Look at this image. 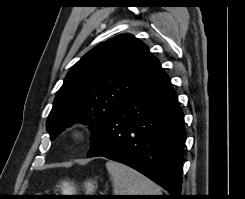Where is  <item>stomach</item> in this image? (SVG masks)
Here are the masks:
<instances>
[{"mask_svg": "<svg viewBox=\"0 0 245 199\" xmlns=\"http://www.w3.org/2000/svg\"><path fill=\"white\" fill-rule=\"evenodd\" d=\"M67 187V191H73V187L69 186L67 183L65 184ZM95 189L94 183L92 181H88L86 183V190L87 192H93Z\"/></svg>", "mask_w": 245, "mask_h": 199, "instance_id": "1", "label": "stomach"}]
</instances>
